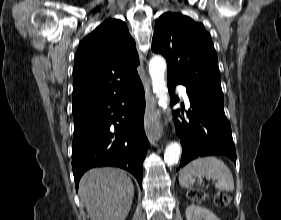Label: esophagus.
Segmentation results:
<instances>
[{
	"instance_id": "obj_1",
	"label": "esophagus",
	"mask_w": 281,
	"mask_h": 220,
	"mask_svg": "<svg viewBox=\"0 0 281 220\" xmlns=\"http://www.w3.org/2000/svg\"><path fill=\"white\" fill-rule=\"evenodd\" d=\"M144 88L146 95L145 131L149 141L154 143L162 137V129L159 121L154 118L157 103L148 80L144 83Z\"/></svg>"
}]
</instances>
